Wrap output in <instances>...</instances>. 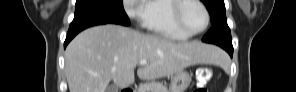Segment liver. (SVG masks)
<instances>
[{"mask_svg": "<svg viewBox=\"0 0 296 92\" xmlns=\"http://www.w3.org/2000/svg\"><path fill=\"white\" fill-rule=\"evenodd\" d=\"M221 52L198 41L174 42L120 25L95 26L67 46L65 73L69 92H107L111 80L120 88L171 76L194 64H218ZM146 59L147 64L139 61Z\"/></svg>", "mask_w": 296, "mask_h": 92, "instance_id": "1", "label": "liver"}]
</instances>
